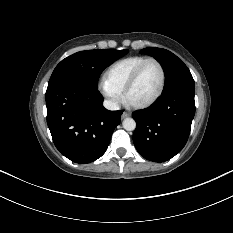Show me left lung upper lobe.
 Segmentation results:
<instances>
[{
    "instance_id": "5c2ea615",
    "label": "left lung upper lobe",
    "mask_w": 233,
    "mask_h": 233,
    "mask_svg": "<svg viewBox=\"0 0 233 233\" xmlns=\"http://www.w3.org/2000/svg\"><path fill=\"white\" fill-rule=\"evenodd\" d=\"M141 53L155 57L163 66L166 83L163 92L178 87H195L194 79L187 66L176 55L161 48H144Z\"/></svg>"
}]
</instances>
